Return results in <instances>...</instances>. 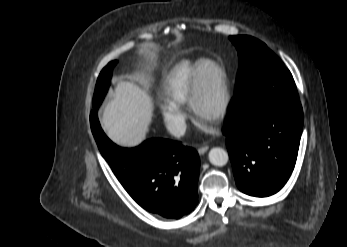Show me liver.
<instances>
[{"instance_id":"obj_1","label":"liver","mask_w":347,"mask_h":247,"mask_svg":"<svg viewBox=\"0 0 347 247\" xmlns=\"http://www.w3.org/2000/svg\"><path fill=\"white\" fill-rule=\"evenodd\" d=\"M153 109V98L145 84L119 81L101 117L103 130L119 146L141 145L146 140Z\"/></svg>"}]
</instances>
